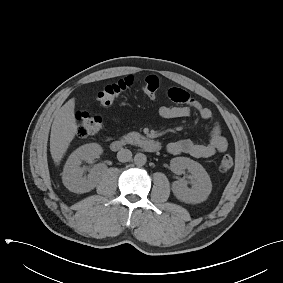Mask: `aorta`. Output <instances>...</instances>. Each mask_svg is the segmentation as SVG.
<instances>
[{
  "instance_id": "aorta-1",
  "label": "aorta",
  "mask_w": 283,
  "mask_h": 283,
  "mask_svg": "<svg viewBox=\"0 0 283 283\" xmlns=\"http://www.w3.org/2000/svg\"><path fill=\"white\" fill-rule=\"evenodd\" d=\"M146 161H147V157L145 154L143 153H137L135 156H134V163L138 166H143L146 164Z\"/></svg>"
}]
</instances>
